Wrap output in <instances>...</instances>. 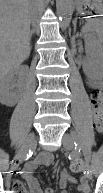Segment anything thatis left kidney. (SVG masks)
<instances>
[{"instance_id":"obj_1","label":"left kidney","mask_w":103,"mask_h":193,"mask_svg":"<svg viewBox=\"0 0 103 193\" xmlns=\"http://www.w3.org/2000/svg\"><path fill=\"white\" fill-rule=\"evenodd\" d=\"M88 58L83 62V71L88 78H98L103 75V53L102 49L93 45H86Z\"/></svg>"}]
</instances>
